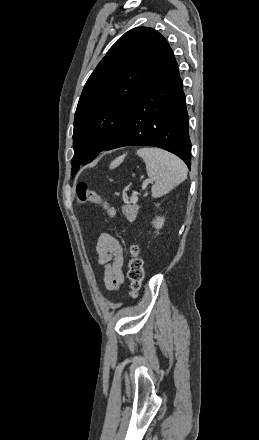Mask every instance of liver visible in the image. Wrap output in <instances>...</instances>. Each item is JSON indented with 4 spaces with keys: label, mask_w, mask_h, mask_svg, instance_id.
I'll list each match as a JSON object with an SVG mask.
<instances>
[{
    "label": "liver",
    "mask_w": 259,
    "mask_h": 440,
    "mask_svg": "<svg viewBox=\"0 0 259 440\" xmlns=\"http://www.w3.org/2000/svg\"><path fill=\"white\" fill-rule=\"evenodd\" d=\"M123 160V157L117 158L115 159L111 164H110V168H114L116 166H118Z\"/></svg>",
    "instance_id": "1"
}]
</instances>
